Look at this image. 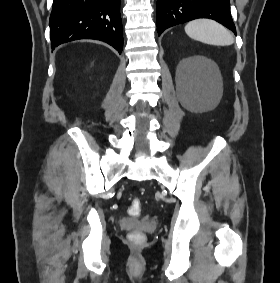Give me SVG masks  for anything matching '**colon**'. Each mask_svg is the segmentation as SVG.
<instances>
[{
	"label": "colon",
	"mask_w": 280,
	"mask_h": 283,
	"mask_svg": "<svg viewBox=\"0 0 280 283\" xmlns=\"http://www.w3.org/2000/svg\"><path fill=\"white\" fill-rule=\"evenodd\" d=\"M141 201L139 199H134L129 207V214L133 217H136L140 214L141 211ZM130 236L134 239H141L142 238V234L134 231L130 234Z\"/></svg>",
	"instance_id": "obj_1"
}]
</instances>
